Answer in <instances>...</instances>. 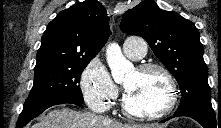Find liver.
<instances>
[{"label": "liver", "mask_w": 221, "mask_h": 128, "mask_svg": "<svg viewBox=\"0 0 221 128\" xmlns=\"http://www.w3.org/2000/svg\"><path fill=\"white\" fill-rule=\"evenodd\" d=\"M32 128H164V126L122 124L92 112L62 108L50 111Z\"/></svg>", "instance_id": "obj_1"}]
</instances>
